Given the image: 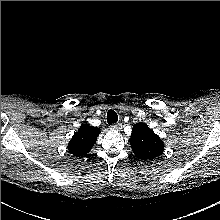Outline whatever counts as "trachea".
Segmentation results:
<instances>
[{"label": "trachea", "instance_id": "1", "mask_svg": "<svg viewBox=\"0 0 220 220\" xmlns=\"http://www.w3.org/2000/svg\"><path fill=\"white\" fill-rule=\"evenodd\" d=\"M117 121H118V115H117V113H116L114 110L110 109V110L107 112V122H108L109 124H115V123H117Z\"/></svg>", "mask_w": 220, "mask_h": 220}]
</instances>
